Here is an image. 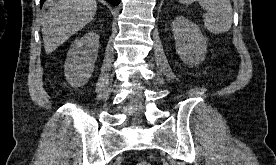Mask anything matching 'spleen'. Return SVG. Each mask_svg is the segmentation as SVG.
Masks as SVG:
<instances>
[{
	"instance_id": "spleen-1",
	"label": "spleen",
	"mask_w": 276,
	"mask_h": 165,
	"mask_svg": "<svg viewBox=\"0 0 276 165\" xmlns=\"http://www.w3.org/2000/svg\"><path fill=\"white\" fill-rule=\"evenodd\" d=\"M182 4L198 1L206 10L203 15L205 27L213 34H221L230 30L233 13L230 0H178Z\"/></svg>"
}]
</instances>
